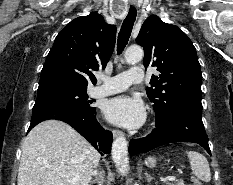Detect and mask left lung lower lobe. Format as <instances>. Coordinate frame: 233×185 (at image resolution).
I'll return each mask as SVG.
<instances>
[{
  "instance_id": "0a47b994",
  "label": "left lung lower lobe",
  "mask_w": 233,
  "mask_h": 185,
  "mask_svg": "<svg viewBox=\"0 0 233 185\" xmlns=\"http://www.w3.org/2000/svg\"><path fill=\"white\" fill-rule=\"evenodd\" d=\"M174 142L197 143L211 155L208 137L202 122L200 98L183 102L167 121L156 122V128L147 137L132 139L129 144V153H144Z\"/></svg>"
}]
</instances>
